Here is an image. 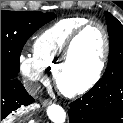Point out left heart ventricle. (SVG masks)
Here are the masks:
<instances>
[{"mask_svg":"<svg viewBox=\"0 0 123 123\" xmlns=\"http://www.w3.org/2000/svg\"><path fill=\"white\" fill-rule=\"evenodd\" d=\"M103 51V36L97 26L89 27L76 41L63 83L76 86L94 74Z\"/></svg>","mask_w":123,"mask_h":123,"instance_id":"b2bd125f","label":"left heart ventricle"}]
</instances>
